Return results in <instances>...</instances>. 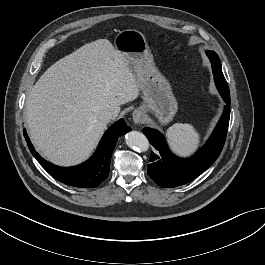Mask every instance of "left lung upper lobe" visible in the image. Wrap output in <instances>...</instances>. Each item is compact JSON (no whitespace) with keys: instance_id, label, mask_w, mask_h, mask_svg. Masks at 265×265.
Instances as JSON below:
<instances>
[{"instance_id":"5c2ea615","label":"left lung upper lobe","mask_w":265,"mask_h":265,"mask_svg":"<svg viewBox=\"0 0 265 265\" xmlns=\"http://www.w3.org/2000/svg\"><path fill=\"white\" fill-rule=\"evenodd\" d=\"M207 55H208L211 62H214V63H216V65H218L217 76H218V81L220 83L219 87H221L225 91H229L227 82H226L225 77L222 73L221 63H220V59H219L218 55L214 51H208ZM214 78L217 79V77H215V76H214Z\"/></svg>"}]
</instances>
